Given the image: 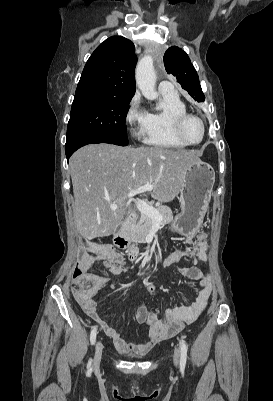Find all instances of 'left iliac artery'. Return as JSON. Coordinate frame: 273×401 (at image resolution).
Segmentation results:
<instances>
[{
	"instance_id": "1",
	"label": "left iliac artery",
	"mask_w": 273,
	"mask_h": 401,
	"mask_svg": "<svg viewBox=\"0 0 273 401\" xmlns=\"http://www.w3.org/2000/svg\"><path fill=\"white\" fill-rule=\"evenodd\" d=\"M180 344H181V346H180V349H181V351H180V353H181L180 368L184 369L185 365H186V359H187V346H186V343L184 340H181Z\"/></svg>"
}]
</instances>
